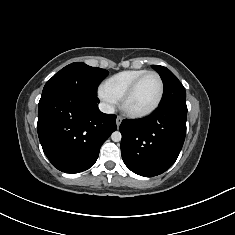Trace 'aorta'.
Listing matches in <instances>:
<instances>
[{"instance_id":"obj_1","label":"aorta","mask_w":235,"mask_h":235,"mask_svg":"<svg viewBox=\"0 0 235 235\" xmlns=\"http://www.w3.org/2000/svg\"><path fill=\"white\" fill-rule=\"evenodd\" d=\"M121 138H122V135H121V133H120L119 131H115V132H113L112 135H111V139H112V141H114V142H119V141H121Z\"/></svg>"}]
</instances>
